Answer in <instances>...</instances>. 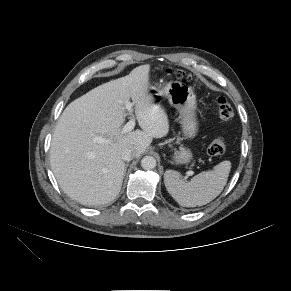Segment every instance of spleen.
Instances as JSON below:
<instances>
[{"label": "spleen", "mask_w": 291, "mask_h": 291, "mask_svg": "<svg viewBox=\"0 0 291 291\" xmlns=\"http://www.w3.org/2000/svg\"><path fill=\"white\" fill-rule=\"evenodd\" d=\"M231 169L230 161H223L212 170L203 171L191 181L180 179L179 173L168 170L164 183L168 193L181 206H203L214 200L224 189Z\"/></svg>", "instance_id": "spleen-1"}]
</instances>
